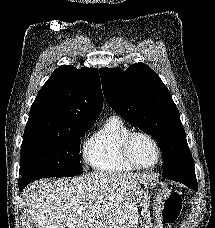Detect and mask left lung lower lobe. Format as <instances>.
Here are the masks:
<instances>
[{
    "label": "left lung lower lobe",
    "instance_id": "0a47b994",
    "mask_svg": "<svg viewBox=\"0 0 215 228\" xmlns=\"http://www.w3.org/2000/svg\"><path fill=\"white\" fill-rule=\"evenodd\" d=\"M165 179H172L175 181H178L180 183L185 184L186 186H188L189 188L197 191L198 190V185H197V181H196V176H195V171L193 172H188L182 175H178V176H167L164 177Z\"/></svg>",
    "mask_w": 215,
    "mask_h": 228
}]
</instances>
